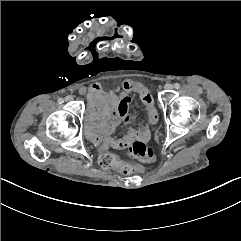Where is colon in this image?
Segmentation results:
<instances>
[{
    "instance_id": "colon-1",
    "label": "colon",
    "mask_w": 241,
    "mask_h": 241,
    "mask_svg": "<svg viewBox=\"0 0 241 241\" xmlns=\"http://www.w3.org/2000/svg\"><path fill=\"white\" fill-rule=\"evenodd\" d=\"M128 154L135 158H140L148 162L155 160L156 155L153 149L144 143L136 142L128 149ZM98 164L104 169L130 170L133 165L121 160L111 153H102L99 155Z\"/></svg>"
}]
</instances>
